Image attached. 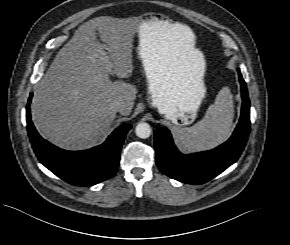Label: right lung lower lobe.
Listing matches in <instances>:
<instances>
[{"instance_id": "right-lung-lower-lobe-1", "label": "right lung lower lobe", "mask_w": 290, "mask_h": 245, "mask_svg": "<svg viewBox=\"0 0 290 245\" xmlns=\"http://www.w3.org/2000/svg\"><path fill=\"white\" fill-rule=\"evenodd\" d=\"M30 94L27 112V131L38 160L64 181L77 186H91L113 177L118 169L120 150L132 127H118L107 140L84 151H66L44 140L36 131L30 114Z\"/></svg>"}]
</instances>
